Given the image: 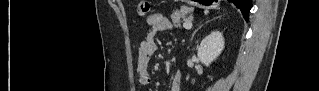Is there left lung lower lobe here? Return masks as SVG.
Returning <instances> with one entry per match:
<instances>
[{"mask_svg": "<svg viewBox=\"0 0 319 91\" xmlns=\"http://www.w3.org/2000/svg\"><path fill=\"white\" fill-rule=\"evenodd\" d=\"M231 1L241 10L243 17L246 19V21H248L249 11L252 7L251 0H231Z\"/></svg>", "mask_w": 319, "mask_h": 91, "instance_id": "0a47b994", "label": "left lung lower lobe"}]
</instances>
